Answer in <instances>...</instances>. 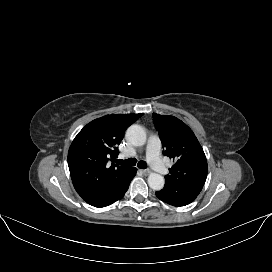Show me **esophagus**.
<instances>
[{"label": "esophagus", "mask_w": 272, "mask_h": 272, "mask_svg": "<svg viewBox=\"0 0 272 272\" xmlns=\"http://www.w3.org/2000/svg\"><path fill=\"white\" fill-rule=\"evenodd\" d=\"M152 172L150 171V170H143V174H145V175H149V174H151Z\"/></svg>", "instance_id": "34e87169"}]
</instances>
